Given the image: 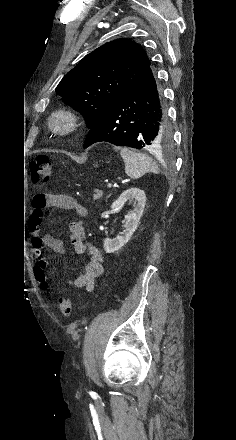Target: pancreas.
<instances>
[{"instance_id":"cf45deb5","label":"pancreas","mask_w":236,"mask_h":440,"mask_svg":"<svg viewBox=\"0 0 236 440\" xmlns=\"http://www.w3.org/2000/svg\"><path fill=\"white\" fill-rule=\"evenodd\" d=\"M102 195H103V192H102V191H100V190H95V191H94V194H93V198H94V200H98V199H100V198L102 197Z\"/></svg>"}]
</instances>
